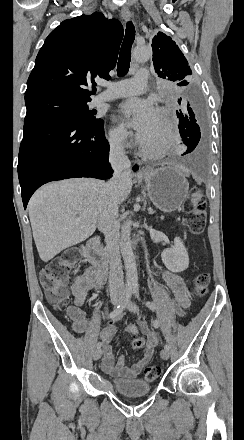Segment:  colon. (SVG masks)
<instances>
[{
  "mask_svg": "<svg viewBox=\"0 0 244 440\" xmlns=\"http://www.w3.org/2000/svg\"><path fill=\"white\" fill-rule=\"evenodd\" d=\"M207 220L206 202L200 190H196L191 196L189 205L185 208L184 221L193 235L202 233L205 229ZM64 258L61 260H54L47 264L44 271L40 275V284L48 298V300L55 304L61 305L66 303L69 299V289L67 286L69 275L76 267V262L82 256L81 248H64ZM210 282L208 274H198L194 278L196 288V295L202 298L206 293V288ZM66 313L75 320L77 328V319H83L84 312L80 305H67ZM130 334L137 327L135 324L129 326ZM145 340L143 338H134L132 340V348L135 351H141L145 347ZM160 367L157 365H150L145 368L143 372V379L146 382H154L160 375Z\"/></svg>",
  "mask_w": 244,
  "mask_h": 440,
  "instance_id": "obj_1",
  "label": "colon"
}]
</instances>
